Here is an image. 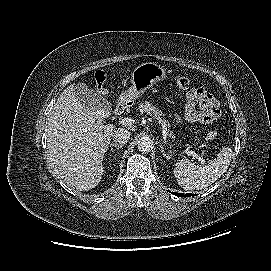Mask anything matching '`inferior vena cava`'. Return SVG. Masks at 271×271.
Wrapping results in <instances>:
<instances>
[{
	"instance_id": "1",
	"label": "inferior vena cava",
	"mask_w": 271,
	"mask_h": 271,
	"mask_svg": "<svg viewBox=\"0 0 271 271\" xmlns=\"http://www.w3.org/2000/svg\"><path fill=\"white\" fill-rule=\"evenodd\" d=\"M112 139L117 144L123 145L129 141L130 133L126 129L118 128L113 132Z\"/></svg>"
}]
</instances>
